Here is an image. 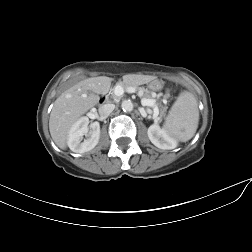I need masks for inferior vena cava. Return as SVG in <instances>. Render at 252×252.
<instances>
[{
  "instance_id": "inferior-vena-cava-1",
  "label": "inferior vena cava",
  "mask_w": 252,
  "mask_h": 252,
  "mask_svg": "<svg viewBox=\"0 0 252 252\" xmlns=\"http://www.w3.org/2000/svg\"><path fill=\"white\" fill-rule=\"evenodd\" d=\"M114 104H104L101 105L98 109L99 115L103 118H106L110 115V113L114 110Z\"/></svg>"
}]
</instances>
